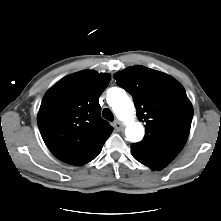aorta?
Returning a JSON list of instances; mask_svg holds the SVG:
<instances>
[{
	"label": "aorta",
	"instance_id": "obj_1",
	"mask_svg": "<svg viewBox=\"0 0 221 221\" xmlns=\"http://www.w3.org/2000/svg\"><path fill=\"white\" fill-rule=\"evenodd\" d=\"M110 105L117 118L127 124L125 135L131 142H139L144 136V127L134 121V104L125 91L116 89L110 98Z\"/></svg>",
	"mask_w": 221,
	"mask_h": 221
}]
</instances>
